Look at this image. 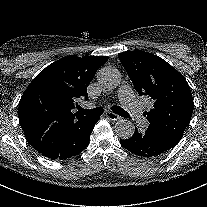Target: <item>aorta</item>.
Segmentation results:
<instances>
[{"label": "aorta", "instance_id": "1", "mask_svg": "<svg viewBox=\"0 0 207 207\" xmlns=\"http://www.w3.org/2000/svg\"><path fill=\"white\" fill-rule=\"evenodd\" d=\"M98 83L107 90L116 88L121 82V74L114 67H103L97 73ZM115 132L122 139H129L135 132V127L130 120L120 119L115 124Z\"/></svg>", "mask_w": 207, "mask_h": 207}]
</instances>
